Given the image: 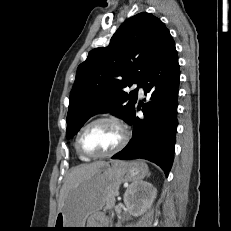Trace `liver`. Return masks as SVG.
I'll return each mask as SVG.
<instances>
[{"instance_id": "obj_1", "label": "liver", "mask_w": 231, "mask_h": 231, "mask_svg": "<svg viewBox=\"0 0 231 231\" xmlns=\"http://www.w3.org/2000/svg\"><path fill=\"white\" fill-rule=\"evenodd\" d=\"M107 165V162L96 161L90 164H81L70 170L66 176V180L60 190V196L58 200V212L62 209L64 201L68 196L69 192L75 188L79 183L90 178L99 169Z\"/></svg>"}]
</instances>
